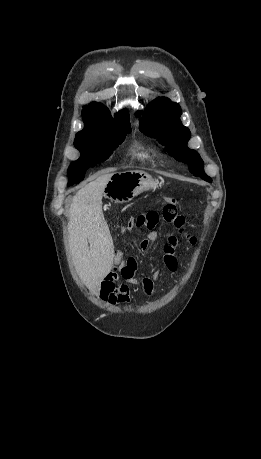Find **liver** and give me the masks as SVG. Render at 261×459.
<instances>
[{
    "label": "liver",
    "instance_id": "liver-1",
    "mask_svg": "<svg viewBox=\"0 0 261 459\" xmlns=\"http://www.w3.org/2000/svg\"><path fill=\"white\" fill-rule=\"evenodd\" d=\"M112 174L98 173L73 197L69 210L68 237L74 266L88 289L100 292V284L111 271L113 240L102 211V196Z\"/></svg>",
    "mask_w": 261,
    "mask_h": 459
}]
</instances>
